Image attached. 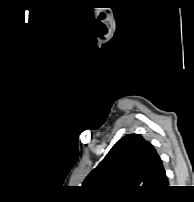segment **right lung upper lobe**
I'll return each mask as SVG.
<instances>
[{"label":"right lung upper lobe","mask_w":194,"mask_h":202,"mask_svg":"<svg viewBox=\"0 0 194 202\" xmlns=\"http://www.w3.org/2000/svg\"><path fill=\"white\" fill-rule=\"evenodd\" d=\"M168 179L150 142L139 134L121 138L83 182L105 196H151L163 191Z\"/></svg>","instance_id":"right-lung-upper-lobe-1"}]
</instances>
